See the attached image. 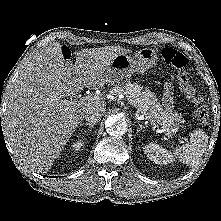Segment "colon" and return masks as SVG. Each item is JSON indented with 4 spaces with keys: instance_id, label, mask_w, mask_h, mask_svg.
Segmentation results:
<instances>
[{
    "instance_id": "colon-1",
    "label": "colon",
    "mask_w": 221,
    "mask_h": 221,
    "mask_svg": "<svg viewBox=\"0 0 221 221\" xmlns=\"http://www.w3.org/2000/svg\"><path fill=\"white\" fill-rule=\"evenodd\" d=\"M63 56L68 57L69 52L63 51ZM163 61L177 70V80L180 90L195 105L196 117L204 129L210 126L209 111L202 98L196 93V90L190 80L187 69V58L177 50L171 47H165L161 51ZM166 91H170V86H166Z\"/></svg>"
}]
</instances>
